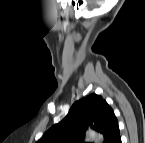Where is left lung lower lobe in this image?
<instances>
[{
  "mask_svg": "<svg viewBox=\"0 0 145 143\" xmlns=\"http://www.w3.org/2000/svg\"><path fill=\"white\" fill-rule=\"evenodd\" d=\"M113 143H121L120 135L113 141Z\"/></svg>",
  "mask_w": 145,
  "mask_h": 143,
  "instance_id": "left-lung-lower-lobe-1",
  "label": "left lung lower lobe"
}]
</instances>
